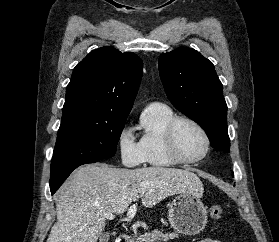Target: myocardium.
Instances as JSON below:
<instances>
[{"mask_svg":"<svg viewBox=\"0 0 279 242\" xmlns=\"http://www.w3.org/2000/svg\"><path fill=\"white\" fill-rule=\"evenodd\" d=\"M181 122H186L191 125H193L203 136L204 141H205V150L203 154L197 158L194 159H188L184 157L177 146L176 143V138H175V132L178 127V125ZM164 141H165V146L166 149L169 153V155L177 162L180 164H196L198 162H201L204 160L207 155L209 154L210 148H211V140L210 137L206 131V129L195 119L187 117V116H175L173 119L170 120V122L167 124L165 132H164Z\"/></svg>","mask_w":279,"mask_h":242,"instance_id":"1","label":"myocardium"}]
</instances>
